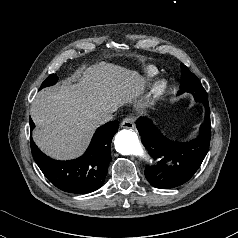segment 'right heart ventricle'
Segmentation results:
<instances>
[{"label": "right heart ventricle", "instance_id": "obj_1", "mask_svg": "<svg viewBox=\"0 0 238 238\" xmlns=\"http://www.w3.org/2000/svg\"><path fill=\"white\" fill-rule=\"evenodd\" d=\"M146 71H147L148 74H154L155 73L154 69L151 68V67H148Z\"/></svg>", "mask_w": 238, "mask_h": 238}]
</instances>
